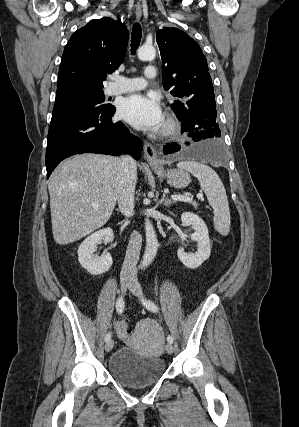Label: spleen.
<instances>
[{
    "instance_id": "obj_1",
    "label": "spleen",
    "mask_w": 299,
    "mask_h": 427,
    "mask_svg": "<svg viewBox=\"0 0 299 427\" xmlns=\"http://www.w3.org/2000/svg\"><path fill=\"white\" fill-rule=\"evenodd\" d=\"M177 167L187 170L199 181L201 189L207 196L214 210L213 223L219 234L226 236L230 231V210L224 185L218 174L204 163L187 160L177 164Z\"/></svg>"
}]
</instances>
